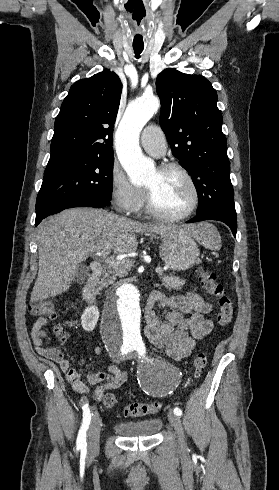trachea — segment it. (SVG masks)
Wrapping results in <instances>:
<instances>
[{"label": "trachea", "mask_w": 279, "mask_h": 490, "mask_svg": "<svg viewBox=\"0 0 279 490\" xmlns=\"http://www.w3.org/2000/svg\"><path fill=\"white\" fill-rule=\"evenodd\" d=\"M133 49H134L136 58H139L140 57V54H141V52L143 50V47H136V46H134Z\"/></svg>", "instance_id": "1"}]
</instances>
